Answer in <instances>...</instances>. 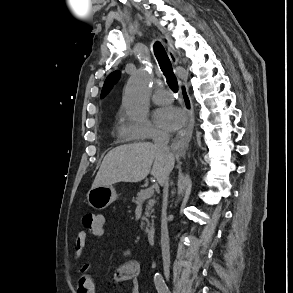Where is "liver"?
<instances>
[{"label": "liver", "mask_w": 293, "mask_h": 293, "mask_svg": "<svg viewBox=\"0 0 293 293\" xmlns=\"http://www.w3.org/2000/svg\"><path fill=\"white\" fill-rule=\"evenodd\" d=\"M174 163L173 154L168 158L150 142L118 146L104 157L92 188L140 182L149 173L161 183L173 170Z\"/></svg>", "instance_id": "6515ba94"}]
</instances>
